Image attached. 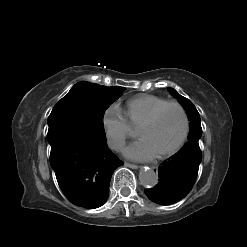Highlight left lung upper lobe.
<instances>
[{
	"mask_svg": "<svg viewBox=\"0 0 247 247\" xmlns=\"http://www.w3.org/2000/svg\"><path fill=\"white\" fill-rule=\"evenodd\" d=\"M168 90L178 99V101L184 106L187 111L190 120V131L188 135L189 141H199L202 135V128L199 113L196 107L190 100L177 93L174 89L168 88Z\"/></svg>",
	"mask_w": 247,
	"mask_h": 247,
	"instance_id": "5c2ea615",
	"label": "left lung upper lobe"
}]
</instances>
